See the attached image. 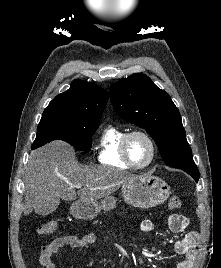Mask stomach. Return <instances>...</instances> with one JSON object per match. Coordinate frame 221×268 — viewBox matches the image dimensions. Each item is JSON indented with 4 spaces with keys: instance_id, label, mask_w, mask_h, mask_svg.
Instances as JSON below:
<instances>
[{
    "instance_id": "0dacf381",
    "label": "stomach",
    "mask_w": 221,
    "mask_h": 268,
    "mask_svg": "<svg viewBox=\"0 0 221 268\" xmlns=\"http://www.w3.org/2000/svg\"><path fill=\"white\" fill-rule=\"evenodd\" d=\"M122 197L129 205L139 208H152L164 203L170 195V186L156 176H134L122 186ZM116 205L113 196L97 201L78 200L70 207L71 214L78 219H92L103 209L112 210Z\"/></svg>"
}]
</instances>
